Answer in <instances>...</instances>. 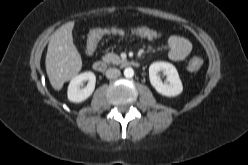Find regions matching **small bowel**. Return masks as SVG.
<instances>
[{
	"label": "small bowel",
	"instance_id": "1",
	"mask_svg": "<svg viewBox=\"0 0 248 165\" xmlns=\"http://www.w3.org/2000/svg\"><path fill=\"white\" fill-rule=\"evenodd\" d=\"M144 29H151V28L136 27V28L131 29L128 33L133 36L148 39V40L156 39V38H152V37L144 35L142 33V30ZM124 34L125 32L122 30V33L119 35H124ZM167 47H168V56L170 60L174 62L183 61L190 54L191 49H192V46L189 40L179 35L171 36L168 39Z\"/></svg>",
	"mask_w": 248,
	"mask_h": 165
}]
</instances>
